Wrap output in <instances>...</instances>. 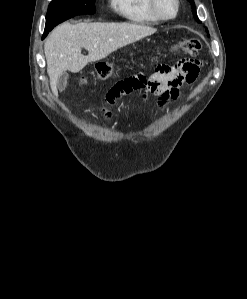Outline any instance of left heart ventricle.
<instances>
[{
  "label": "left heart ventricle",
  "instance_id": "left-heart-ventricle-1",
  "mask_svg": "<svg viewBox=\"0 0 247 299\" xmlns=\"http://www.w3.org/2000/svg\"><path fill=\"white\" fill-rule=\"evenodd\" d=\"M159 9L162 14L170 16L175 12V4L172 0H160Z\"/></svg>",
  "mask_w": 247,
  "mask_h": 299
}]
</instances>
